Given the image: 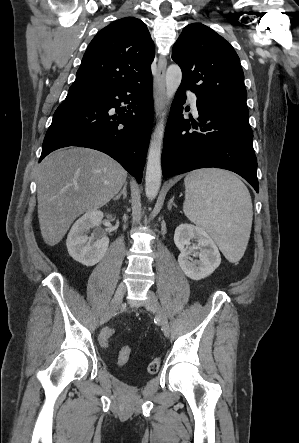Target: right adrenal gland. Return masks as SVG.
I'll use <instances>...</instances> for the list:
<instances>
[{"label":"right adrenal gland","mask_w":299,"mask_h":443,"mask_svg":"<svg viewBox=\"0 0 299 443\" xmlns=\"http://www.w3.org/2000/svg\"><path fill=\"white\" fill-rule=\"evenodd\" d=\"M126 188H127V182L124 183L123 189L121 190V192L117 196L114 197L113 200L114 201L119 200L121 198V196H123V199H126V197H127Z\"/></svg>","instance_id":"1"}]
</instances>
